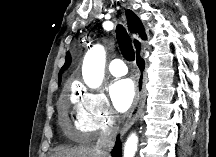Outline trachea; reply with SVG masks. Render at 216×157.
Wrapping results in <instances>:
<instances>
[{"mask_svg": "<svg viewBox=\"0 0 216 157\" xmlns=\"http://www.w3.org/2000/svg\"><path fill=\"white\" fill-rule=\"evenodd\" d=\"M116 37L117 42L120 48V51L123 55V57L127 61H133L135 59V52L131 43V39L126 31V29L122 25H117L116 27ZM140 43L137 42V48L140 49ZM142 63H144V60L142 59Z\"/></svg>", "mask_w": 216, "mask_h": 157, "instance_id": "3493384b", "label": "trachea"}]
</instances>
